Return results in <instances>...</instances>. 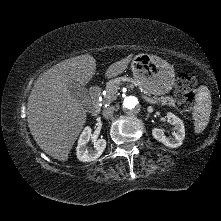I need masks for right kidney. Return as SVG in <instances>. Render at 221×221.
Segmentation results:
<instances>
[{"label": "right kidney", "instance_id": "ca27d5eb", "mask_svg": "<svg viewBox=\"0 0 221 221\" xmlns=\"http://www.w3.org/2000/svg\"><path fill=\"white\" fill-rule=\"evenodd\" d=\"M90 137H91V128L87 126L82 131L76 148L77 158L82 162H91L96 160L101 156L102 152L106 148V140L100 138L93 141L94 150H88L86 144L89 142Z\"/></svg>", "mask_w": 221, "mask_h": 221}]
</instances>
